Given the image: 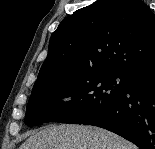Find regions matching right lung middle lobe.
Masks as SVG:
<instances>
[{
  "label": "right lung middle lobe",
  "instance_id": "obj_1",
  "mask_svg": "<svg viewBox=\"0 0 155 149\" xmlns=\"http://www.w3.org/2000/svg\"><path fill=\"white\" fill-rule=\"evenodd\" d=\"M129 76L125 73L68 72L36 82L27 104L25 124L90 122L121 96ZM70 95L71 101H60Z\"/></svg>",
  "mask_w": 155,
  "mask_h": 149
}]
</instances>
